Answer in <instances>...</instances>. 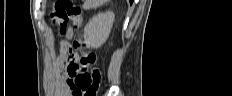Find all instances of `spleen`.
Listing matches in <instances>:
<instances>
[{
  "mask_svg": "<svg viewBox=\"0 0 232 96\" xmlns=\"http://www.w3.org/2000/svg\"><path fill=\"white\" fill-rule=\"evenodd\" d=\"M105 0H85L83 4L84 10L96 9L97 7L103 5Z\"/></svg>",
  "mask_w": 232,
  "mask_h": 96,
  "instance_id": "spleen-1",
  "label": "spleen"
}]
</instances>
